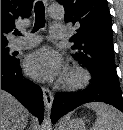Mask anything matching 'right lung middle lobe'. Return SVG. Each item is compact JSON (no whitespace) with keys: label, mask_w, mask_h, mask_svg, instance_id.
<instances>
[{"label":"right lung middle lobe","mask_w":123,"mask_h":130,"mask_svg":"<svg viewBox=\"0 0 123 130\" xmlns=\"http://www.w3.org/2000/svg\"><path fill=\"white\" fill-rule=\"evenodd\" d=\"M1 58H7L13 60V57L9 54L7 44H1Z\"/></svg>","instance_id":"1"}]
</instances>
